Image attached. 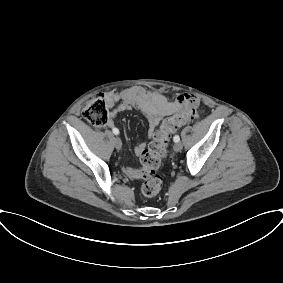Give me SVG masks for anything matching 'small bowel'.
Here are the masks:
<instances>
[{"mask_svg": "<svg viewBox=\"0 0 283 283\" xmlns=\"http://www.w3.org/2000/svg\"><path fill=\"white\" fill-rule=\"evenodd\" d=\"M105 99L111 108L108 120L109 127L115 125V118L119 113L134 108L147 118L149 138H153L164 117L175 113L190 101L197 102L196 97L190 94H180L175 100L170 101L159 92L140 87L128 88L119 93H107ZM145 148L146 143H140L135 147V153L140 155ZM123 172L131 179H137L140 176L139 170L133 167H124Z\"/></svg>", "mask_w": 283, "mask_h": 283, "instance_id": "obj_1", "label": "small bowel"}]
</instances>
